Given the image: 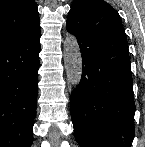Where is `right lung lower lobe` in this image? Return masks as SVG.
<instances>
[{
	"label": "right lung lower lobe",
	"instance_id": "obj_1",
	"mask_svg": "<svg viewBox=\"0 0 145 147\" xmlns=\"http://www.w3.org/2000/svg\"><path fill=\"white\" fill-rule=\"evenodd\" d=\"M40 28L0 45V147H30L36 114Z\"/></svg>",
	"mask_w": 145,
	"mask_h": 147
}]
</instances>
